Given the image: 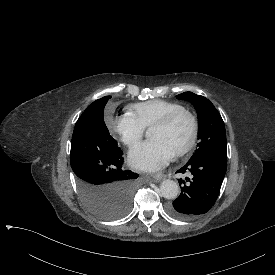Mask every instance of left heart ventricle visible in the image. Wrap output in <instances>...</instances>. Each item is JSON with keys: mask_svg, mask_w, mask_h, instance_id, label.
Returning a JSON list of instances; mask_svg holds the SVG:
<instances>
[{"mask_svg": "<svg viewBox=\"0 0 275 275\" xmlns=\"http://www.w3.org/2000/svg\"><path fill=\"white\" fill-rule=\"evenodd\" d=\"M190 123L187 117H181L168 129L152 127L149 137L166 143L174 152L183 145L189 135Z\"/></svg>", "mask_w": 275, "mask_h": 275, "instance_id": "left-heart-ventricle-1", "label": "left heart ventricle"}]
</instances>
